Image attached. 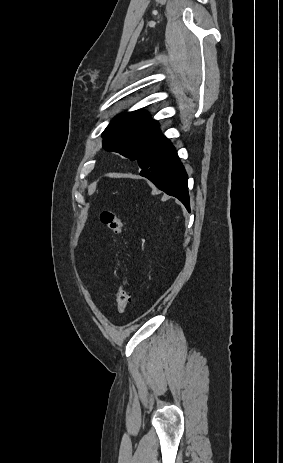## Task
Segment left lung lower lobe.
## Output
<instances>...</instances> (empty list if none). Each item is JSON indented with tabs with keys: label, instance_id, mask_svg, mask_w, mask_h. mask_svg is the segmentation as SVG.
I'll list each match as a JSON object with an SVG mask.
<instances>
[{
	"label": "left lung lower lobe",
	"instance_id": "left-lung-lower-lobe-1",
	"mask_svg": "<svg viewBox=\"0 0 283 463\" xmlns=\"http://www.w3.org/2000/svg\"><path fill=\"white\" fill-rule=\"evenodd\" d=\"M140 175L166 194L178 198L190 210L187 174L175 148L161 132L137 158Z\"/></svg>",
	"mask_w": 283,
	"mask_h": 463
}]
</instances>
